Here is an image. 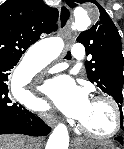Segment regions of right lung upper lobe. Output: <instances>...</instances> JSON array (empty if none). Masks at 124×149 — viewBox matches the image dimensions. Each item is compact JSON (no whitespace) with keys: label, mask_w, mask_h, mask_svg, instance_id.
<instances>
[{"label":"right lung upper lobe","mask_w":124,"mask_h":149,"mask_svg":"<svg viewBox=\"0 0 124 149\" xmlns=\"http://www.w3.org/2000/svg\"><path fill=\"white\" fill-rule=\"evenodd\" d=\"M57 19L58 10L42 0H6L0 6V62H18Z\"/></svg>","instance_id":"cb5924a9"}]
</instances>
